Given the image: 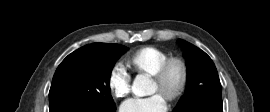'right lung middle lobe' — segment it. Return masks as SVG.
<instances>
[{
    "label": "right lung middle lobe",
    "instance_id": "1",
    "mask_svg": "<svg viewBox=\"0 0 270 112\" xmlns=\"http://www.w3.org/2000/svg\"><path fill=\"white\" fill-rule=\"evenodd\" d=\"M128 48L93 43L69 54L58 66L49 91V106L90 102L110 108V73L115 61Z\"/></svg>",
    "mask_w": 270,
    "mask_h": 112
}]
</instances>
